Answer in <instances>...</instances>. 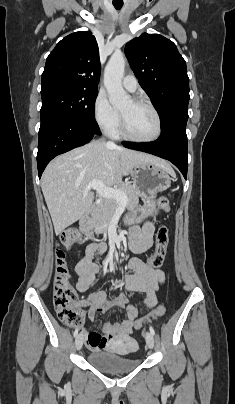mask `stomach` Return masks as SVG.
Segmentation results:
<instances>
[{
  "mask_svg": "<svg viewBox=\"0 0 235 404\" xmlns=\"http://www.w3.org/2000/svg\"><path fill=\"white\" fill-rule=\"evenodd\" d=\"M134 185L144 205L137 206L128 215V222H141L145 217L156 213L154 199L157 194L171 186L169 173L154 162H143L133 170Z\"/></svg>",
  "mask_w": 235,
  "mask_h": 404,
  "instance_id": "1",
  "label": "stomach"
}]
</instances>
